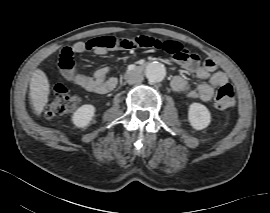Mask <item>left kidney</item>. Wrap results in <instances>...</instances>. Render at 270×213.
Returning a JSON list of instances; mask_svg holds the SVG:
<instances>
[{"label": "left kidney", "mask_w": 270, "mask_h": 213, "mask_svg": "<svg viewBox=\"0 0 270 213\" xmlns=\"http://www.w3.org/2000/svg\"><path fill=\"white\" fill-rule=\"evenodd\" d=\"M188 120L190 125L196 130L208 127L211 122V114L206 106L200 103H192L189 106Z\"/></svg>", "instance_id": "5707ae66"}]
</instances>
